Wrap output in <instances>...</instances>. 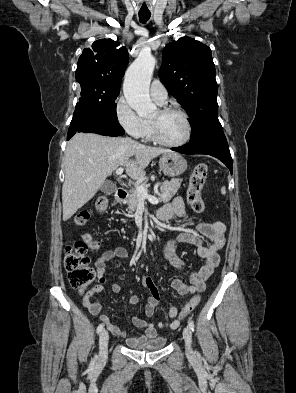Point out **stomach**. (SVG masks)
Segmentation results:
<instances>
[{"instance_id":"stomach-1","label":"stomach","mask_w":296,"mask_h":393,"mask_svg":"<svg viewBox=\"0 0 296 393\" xmlns=\"http://www.w3.org/2000/svg\"><path fill=\"white\" fill-rule=\"evenodd\" d=\"M159 167L169 177H177L187 169V161L178 153H165L159 160Z\"/></svg>"}]
</instances>
